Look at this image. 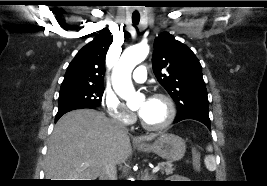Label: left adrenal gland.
Here are the masks:
<instances>
[{
	"mask_svg": "<svg viewBox=\"0 0 267 186\" xmlns=\"http://www.w3.org/2000/svg\"><path fill=\"white\" fill-rule=\"evenodd\" d=\"M144 181H155L154 175H149L148 169L145 170L144 175L142 176Z\"/></svg>",
	"mask_w": 267,
	"mask_h": 186,
	"instance_id": "1",
	"label": "left adrenal gland"
}]
</instances>
